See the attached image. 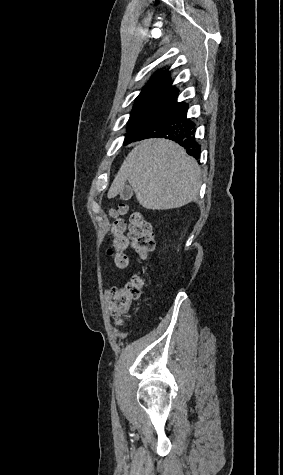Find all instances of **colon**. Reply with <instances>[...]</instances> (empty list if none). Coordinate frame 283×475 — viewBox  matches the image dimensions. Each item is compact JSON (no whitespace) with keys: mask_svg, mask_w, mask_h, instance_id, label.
I'll return each instance as SVG.
<instances>
[{"mask_svg":"<svg viewBox=\"0 0 283 475\" xmlns=\"http://www.w3.org/2000/svg\"><path fill=\"white\" fill-rule=\"evenodd\" d=\"M130 214V232L124 234L121 215ZM111 242L106 252L117 267L125 269L128 266L126 250L132 248L141 259H147L152 253L154 240L150 226L144 215L139 211H130L126 204L121 203L116 209L110 210ZM142 288V278L134 276L127 282L110 287L107 301L111 314L120 323L127 316L132 304L139 298Z\"/></svg>","mask_w":283,"mask_h":475,"instance_id":"obj_1","label":"colon"}]
</instances>
